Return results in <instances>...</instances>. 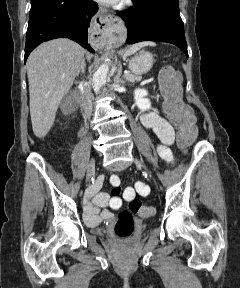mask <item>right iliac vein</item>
Returning <instances> with one entry per match:
<instances>
[{
	"instance_id": "right-iliac-vein-1",
	"label": "right iliac vein",
	"mask_w": 240,
	"mask_h": 288,
	"mask_svg": "<svg viewBox=\"0 0 240 288\" xmlns=\"http://www.w3.org/2000/svg\"><path fill=\"white\" fill-rule=\"evenodd\" d=\"M95 170V160L91 159L89 165H88V169H87V175H86V182L88 183L94 173Z\"/></svg>"
}]
</instances>
